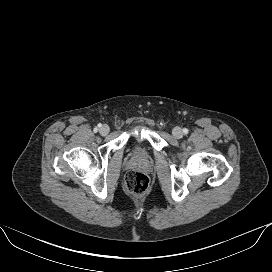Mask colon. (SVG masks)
<instances>
[{"instance_id": "obj_1", "label": "colon", "mask_w": 272, "mask_h": 272, "mask_svg": "<svg viewBox=\"0 0 272 272\" xmlns=\"http://www.w3.org/2000/svg\"><path fill=\"white\" fill-rule=\"evenodd\" d=\"M150 186V180L147 175L141 172L130 171L124 178V187L126 191L136 197L147 193Z\"/></svg>"}]
</instances>
